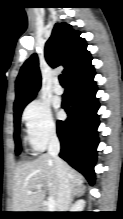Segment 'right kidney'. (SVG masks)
<instances>
[{
  "label": "right kidney",
  "instance_id": "right-kidney-1",
  "mask_svg": "<svg viewBox=\"0 0 123 219\" xmlns=\"http://www.w3.org/2000/svg\"><path fill=\"white\" fill-rule=\"evenodd\" d=\"M85 206V201L80 199L75 202L71 207V212H81Z\"/></svg>",
  "mask_w": 123,
  "mask_h": 219
}]
</instances>
